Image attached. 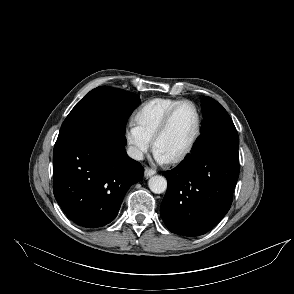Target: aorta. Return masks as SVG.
<instances>
[{"label": "aorta", "mask_w": 294, "mask_h": 294, "mask_svg": "<svg viewBox=\"0 0 294 294\" xmlns=\"http://www.w3.org/2000/svg\"><path fill=\"white\" fill-rule=\"evenodd\" d=\"M150 190L155 194H161L167 189V180L163 176H152L148 181Z\"/></svg>", "instance_id": "obj_1"}]
</instances>
